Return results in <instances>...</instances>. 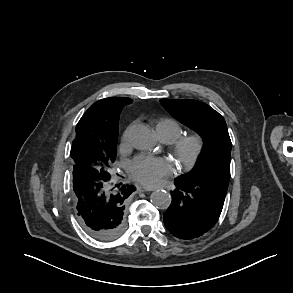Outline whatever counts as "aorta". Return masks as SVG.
<instances>
[{
  "instance_id": "1",
  "label": "aorta",
  "mask_w": 293,
  "mask_h": 293,
  "mask_svg": "<svg viewBox=\"0 0 293 293\" xmlns=\"http://www.w3.org/2000/svg\"><path fill=\"white\" fill-rule=\"evenodd\" d=\"M131 144L140 150H149L154 144L152 130L146 125H136L130 132ZM151 202L158 209H167L171 204V196L164 190H156L151 194Z\"/></svg>"
}]
</instances>
